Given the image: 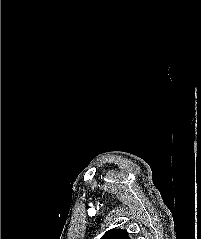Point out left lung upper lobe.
Returning <instances> with one entry per match:
<instances>
[{
  "mask_svg": "<svg viewBox=\"0 0 201 239\" xmlns=\"http://www.w3.org/2000/svg\"><path fill=\"white\" fill-rule=\"evenodd\" d=\"M100 239H130L128 233L122 229L108 230Z\"/></svg>",
  "mask_w": 201,
  "mask_h": 239,
  "instance_id": "left-lung-upper-lobe-1",
  "label": "left lung upper lobe"
}]
</instances>
